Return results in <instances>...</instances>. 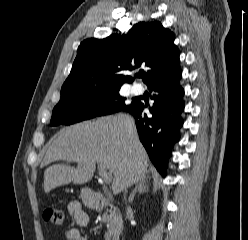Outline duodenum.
I'll return each instance as SVG.
<instances>
[{
	"mask_svg": "<svg viewBox=\"0 0 248 240\" xmlns=\"http://www.w3.org/2000/svg\"><path fill=\"white\" fill-rule=\"evenodd\" d=\"M92 199V206L96 209H100L108 204V201L104 198L102 193H90ZM114 240H122L121 236L114 238Z\"/></svg>",
	"mask_w": 248,
	"mask_h": 240,
	"instance_id": "410a0bca",
	"label": "duodenum"
}]
</instances>
